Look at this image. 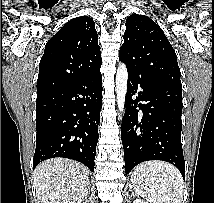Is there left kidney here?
<instances>
[{
    "label": "left kidney",
    "mask_w": 214,
    "mask_h": 203,
    "mask_svg": "<svg viewBox=\"0 0 214 203\" xmlns=\"http://www.w3.org/2000/svg\"><path fill=\"white\" fill-rule=\"evenodd\" d=\"M133 203H146L145 201L141 200V199H136L134 200Z\"/></svg>",
    "instance_id": "1"
}]
</instances>
